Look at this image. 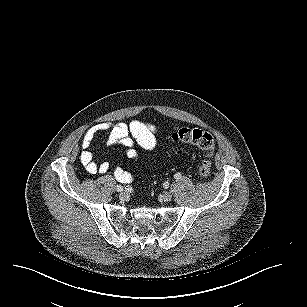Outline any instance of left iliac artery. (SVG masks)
<instances>
[{
  "mask_svg": "<svg viewBox=\"0 0 307 307\" xmlns=\"http://www.w3.org/2000/svg\"><path fill=\"white\" fill-rule=\"evenodd\" d=\"M181 177H182V175H181V173H176L175 175H174V178L176 179V180H179V179H181Z\"/></svg>",
  "mask_w": 307,
  "mask_h": 307,
  "instance_id": "44dca946",
  "label": "left iliac artery"
}]
</instances>
